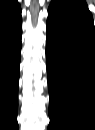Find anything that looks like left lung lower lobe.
<instances>
[{
	"instance_id": "obj_1",
	"label": "left lung lower lobe",
	"mask_w": 95,
	"mask_h": 130,
	"mask_svg": "<svg viewBox=\"0 0 95 130\" xmlns=\"http://www.w3.org/2000/svg\"><path fill=\"white\" fill-rule=\"evenodd\" d=\"M47 69L50 118L58 127L95 122V29L89 15L49 11Z\"/></svg>"
}]
</instances>
